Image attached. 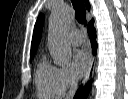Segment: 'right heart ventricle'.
I'll use <instances>...</instances> for the list:
<instances>
[{
    "label": "right heart ventricle",
    "mask_w": 128,
    "mask_h": 99,
    "mask_svg": "<svg viewBox=\"0 0 128 99\" xmlns=\"http://www.w3.org/2000/svg\"><path fill=\"white\" fill-rule=\"evenodd\" d=\"M35 84L37 96L41 99L60 98L64 93L58 80V68L49 64L45 58L38 64Z\"/></svg>",
    "instance_id": "obj_1"
}]
</instances>
